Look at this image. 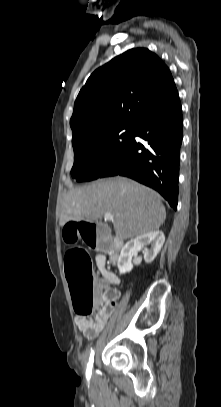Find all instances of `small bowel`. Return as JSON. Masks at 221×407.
<instances>
[{
  "label": "small bowel",
  "instance_id": "small-bowel-1",
  "mask_svg": "<svg viewBox=\"0 0 221 407\" xmlns=\"http://www.w3.org/2000/svg\"><path fill=\"white\" fill-rule=\"evenodd\" d=\"M95 263L100 274L98 289L101 298L104 294H110L112 296V302L107 303L102 300L100 308L94 318L84 316L76 317L78 328L88 339L96 338L103 330L112 313L114 302L120 296L119 291L112 288V286L118 285L120 280L107 268L106 256L97 254L95 256Z\"/></svg>",
  "mask_w": 221,
  "mask_h": 407
}]
</instances>
